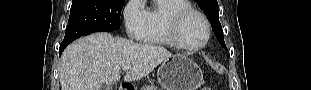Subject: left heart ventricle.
<instances>
[{"instance_id": "left-heart-ventricle-1", "label": "left heart ventricle", "mask_w": 311, "mask_h": 90, "mask_svg": "<svg viewBox=\"0 0 311 90\" xmlns=\"http://www.w3.org/2000/svg\"><path fill=\"white\" fill-rule=\"evenodd\" d=\"M206 35L204 22L197 15H191L183 22L181 36L190 45H198L203 42Z\"/></svg>"}]
</instances>
